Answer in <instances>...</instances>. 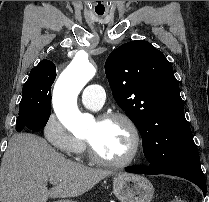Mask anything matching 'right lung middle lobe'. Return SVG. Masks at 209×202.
Masks as SVG:
<instances>
[{
    "mask_svg": "<svg viewBox=\"0 0 209 202\" xmlns=\"http://www.w3.org/2000/svg\"><path fill=\"white\" fill-rule=\"evenodd\" d=\"M56 76H34L29 78L22 89L19 117L16 130L43 128L51 114V86Z\"/></svg>",
    "mask_w": 209,
    "mask_h": 202,
    "instance_id": "dd1d6c3e",
    "label": "right lung middle lobe"
}]
</instances>
